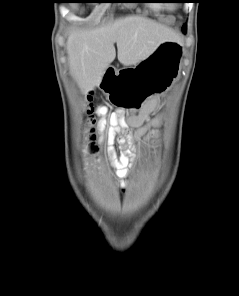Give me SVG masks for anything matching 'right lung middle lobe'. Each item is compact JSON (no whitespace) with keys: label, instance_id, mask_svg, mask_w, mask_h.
Segmentation results:
<instances>
[{"label":"right lung middle lobe","instance_id":"right-lung-middle-lobe-1","mask_svg":"<svg viewBox=\"0 0 239 296\" xmlns=\"http://www.w3.org/2000/svg\"><path fill=\"white\" fill-rule=\"evenodd\" d=\"M107 0H87V1H80V2H106Z\"/></svg>","mask_w":239,"mask_h":296}]
</instances>
